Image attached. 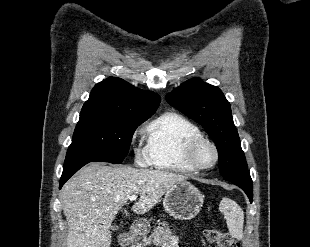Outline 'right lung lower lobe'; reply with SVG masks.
<instances>
[{
	"label": "right lung lower lobe",
	"instance_id": "right-lung-lower-lobe-1",
	"mask_svg": "<svg viewBox=\"0 0 310 247\" xmlns=\"http://www.w3.org/2000/svg\"><path fill=\"white\" fill-rule=\"evenodd\" d=\"M89 162H80L76 164H72L69 166H64L63 173L60 179L59 188L63 186V184L74 174L76 173L81 167L86 165Z\"/></svg>",
	"mask_w": 310,
	"mask_h": 247
}]
</instances>
